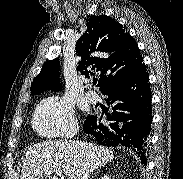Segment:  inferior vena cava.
<instances>
[{
  "label": "inferior vena cava",
  "mask_w": 183,
  "mask_h": 179,
  "mask_svg": "<svg viewBox=\"0 0 183 179\" xmlns=\"http://www.w3.org/2000/svg\"><path fill=\"white\" fill-rule=\"evenodd\" d=\"M72 137H73V135L69 136V138H72Z\"/></svg>",
  "instance_id": "inferior-vena-cava-1"
}]
</instances>
